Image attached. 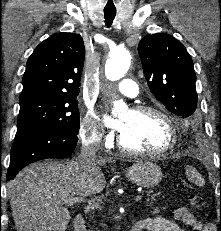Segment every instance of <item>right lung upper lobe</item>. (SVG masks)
I'll return each instance as SVG.
<instances>
[{"instance_id": "1", "label": "right lung upper lobe", "mask_w": 221, "mask_h": 231, "mask_svg": "<svg viewBox=\"0 0 221 231\" xmlns=\"http://www.w3.org/2000/svg\"><path fill=\"white\" fill-rule=\"evenodd\" d=\"M85 59L78 34L56 33L41 42L29 57L19 99L46 96H77Z\"/></svg>"}]
</instances>
